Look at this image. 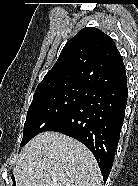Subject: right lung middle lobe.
Returning <instances> with one entry per match:
<instances>
[{"label":"right lung middle lobe","instance_id":"1","mask_svg":"<svg viewBox=\"0 0 138 186\" xmlns=\"http://www.w3.org/2000/svg\"><path fill=\"white\" fill-rule=\"evenodd\" d=\"M91 89L82 85H70L35 93L24 124V146L37 134L46 131L80 105Z\"/></svg>","mask_w":138,"mask_h":186}]
</instances>
